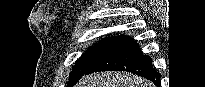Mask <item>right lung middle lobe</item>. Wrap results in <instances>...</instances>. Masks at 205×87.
Returning <instances> with one entry per match:
<instances>
[{
    "mask_svg": "<svg viewBox=\"0 0 205 87\" xmlns=\"http://www.w3.org/2000/svg\"><path fill=\"white\" fill-rule=\"evenodd\" d=\"M129 38L127 36L107 37L99 41L81 55L79 60L70 73V79L67 87H72L95 63L112 52L114 49L125 43Z\"/></svg>",
    "mask_w": 205,
    "mask_h": 87,
    "instance_id": "dd1d6c3e",
    "label": "right lung middle lobe"
}]
</instances>
